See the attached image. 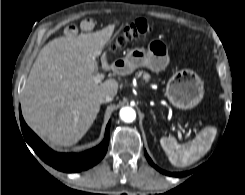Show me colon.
Segmentation results:
<instances>
[{"instance_id":"obj_1","label":"colon","mask_w":245,"mask_h":195,"mask_svg":"<svg viewBox=\"0 0 245 195\" xmlns=\"http://www.w3.org/2000/svg\"><path fill=\"white\" fill-rule=\"evenodd\" d=\"M149 30V26L144 19H137L125 26L110 45L112 51L123 48L128 42L138 39Z\"/></svg>"}]
</instances>
